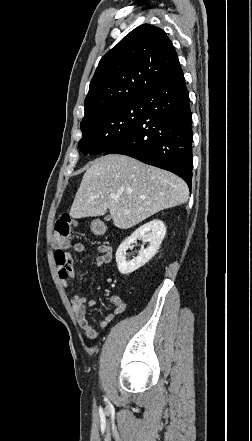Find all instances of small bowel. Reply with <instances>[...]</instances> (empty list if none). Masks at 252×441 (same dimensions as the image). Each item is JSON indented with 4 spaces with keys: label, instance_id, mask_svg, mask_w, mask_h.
<instances>
[{
    "label": "small bowel",
    "instance_id": "small-bowel-1",
    "mask_svg": "<svg viewBox=\"0 0 252 441\" xmlns=\"http://www.w3.org/2000/svg\"><path fill=\"white\" fill-rule=\"evenodd\" d=\"M73 249L77 253H87V249L82 243H75ZM100 255L96 258L95 264L97 267L109 264L112 261V251L108 246H101L99 248ZM74 258L71 254L67 255L66 264L58 263V271L61 278V283L64 287H67V279L74 277ZM88 277L84 280L86 281ZM109 301L114 305L115 309L113 313H108L102 320L98 322V326L104 329L114 319L116 315L123 313L126 309V304L122 298L118 295L109 296ZM73 310L77 319V322L82 329L83 333L90 339L98 337L97 330L89 323L87 319V307H94L96 301L94 299L87 300L82 295L75 294L72 296Z\"/></svg>",
    "mask_w": 252,
    "mask_h": 441
}]
</instances>
